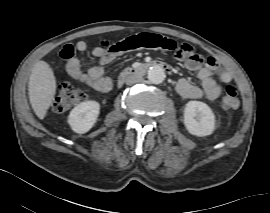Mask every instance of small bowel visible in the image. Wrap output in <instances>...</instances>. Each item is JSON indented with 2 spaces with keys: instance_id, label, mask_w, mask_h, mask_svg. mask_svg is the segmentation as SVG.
<instances>
[{
  "instance_id": "obj_1",
  "label": "small bowel",
  "mask_w": 270,
  "mask_h": 213,
  "mask_svg": "<svg viewBox=\"0 0 270 213\" xmlns=\"http://www.w3.org/2000/svg\"><path fill=\"white\" fill-rule=\"evenodd\" d=\"M116 43L110 40H99L92 50V56L97 63L92 65L87 72L82 71V62L76 53L86 51L88 45L85 41L76 44H66L60 50V56L66 61V71L75 80L92 87L100 93H106L113 87V80L106 75L104 65L113 61L123 50L108 51V47ZM194 49L191 47L183 54L188 70L197 74L200 85H195L187 79H180L177 83L178 93L187 99H197L205 96L208 99H216L221 91L222 85L232 81L231 73L223 68L215 59H209L208 63H196L191 60ZM217 76V80L213 75Z\"/></svg>"
}]
</instances>
